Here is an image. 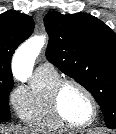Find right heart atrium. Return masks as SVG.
<instances>
[{"instance_id": "d8ad5b80", "label": "right heart atrium", "mask_w": 116, "mask_h": 134, "mask_svg": "<svg viewBox=\"0 0 116 134\" xmlns=\"http://www.w3.org/2000/svg\"><path fill=\"white\" fill-rule=\"evenodd\" d=\"M23 91L20 89H15L12 91L11 93V100L13 102V104L16 106L18 100L20 99V97L22 96Z\"/></svg>"}]
</instances>
